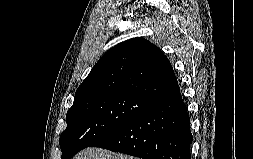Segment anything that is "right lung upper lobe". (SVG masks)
<instances>
[{
	"label": "right lung upper lobe",
	"instance_id": "obj_1",
	"mask_svg": "<svg viewBox=\"0 0 253 159\" xmlns=\"http://www.w3.org/2000/svg\"><path fill=\"white\" fill-rule=\"evenodd\" d=\"M180 91L173 68L154 44L132 38L107 51L78 87L74 101L116 94L157 103Z\"/></svg>",
	"mask_w": 253,
	"mask_h": 159
}]
</instances>
